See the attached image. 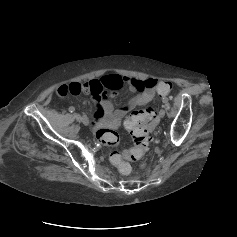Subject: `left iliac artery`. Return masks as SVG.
<instances>
[{
    "label": "left iliac artery",
    "mask_w": 237,
    "mask_h": 237,
    "mask_svg": "<svg viewBox=\"0 0 237 237\" xmlns=\"http://www.w3.org/2000/svg\"><path fill=\"white\" fill-rule=\"evenodd\" d=\"M162 102L166 104L168 102V98H163Z\"/></svg>",
    "instance_id": "1"
}]
</instances>
